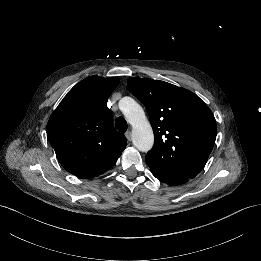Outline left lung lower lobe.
Instances as JSON below:
<instances>
[{
    "label": "left lung lower lobe",
    "instance_id": "obj_1",
    "mask_svg": "<svg viewBox=\"0 0 261 261\" xmlns=\"http://www.w3.org/2000/svg\"><path fill=\"white\" fill-rule=\"evenodd\" d=\"M152 174L161 182L168 184L169 186L172 185H180L184 184L189 181L190 178H185L173 174H169L163 170H160L156 167L149 165Z\"/></svg>",
    "mask_w": 261,
    "mask_h": 261
}]
</instances>
